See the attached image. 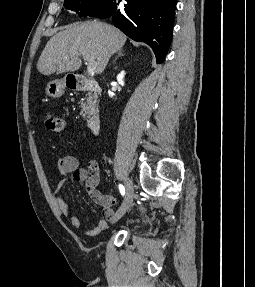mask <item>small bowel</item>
<instances>
[{
	"label": "small bowel",
	"instance_id": "small-bowel-1",
	"mask_svg": "<svg viewBox=\"0 0 255 287\" xmlns=\"http://www.w3.org/2000/svg\"><path fill=\"white\" fill-rule=\"evenodd\" d=\"M58 170L63 176V179L57 184L54 192V201L60 214L68 218L73 228L79 227V219L70 213L68 204L59 194L67 178L71 176L76 182L84 183L92 200L102 207L103 218L98 220L94 227L85 232L88 236L98 235L106 228L107 221L113 217V205L115 201L111 196L105 195L97 190L96 187L99 183L97 168L94 165H91L88 170L83 169L80 167L76 157L68 155L60 159Z\"/></svg>",
	"mask_w": 255,
	"mask_h": 287
}]
</instances>
